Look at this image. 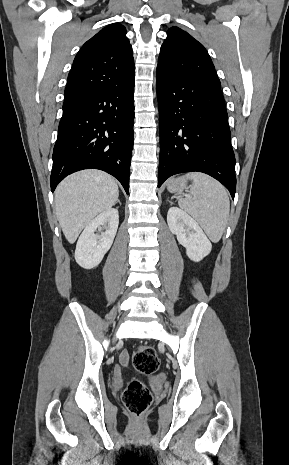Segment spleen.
I'll use <instances>...</instances> for the list:
<instances>
[{
    "mask_svg": "<svg viewBox=\"0 0 289 465\" xmlns=\"http://www.w3.org/2000/svg\"><path fill=\"white\" fill-rule=\"evenodd\" d=\"M193 180L190 194L178 198V205L203 228L209 239H221L229 218L230 201L226 189L212 177L199 172L188 173L179 180Z\"/></svg>",
    "mask_w": 289,
    "mask_h": 465,
    "instance_id": "obj_1",
    "label": "spleen"
}]
</instances>
